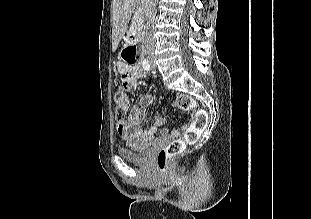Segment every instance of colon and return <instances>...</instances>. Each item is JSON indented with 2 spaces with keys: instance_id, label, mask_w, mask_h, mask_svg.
I'll return each mask as SVG.
<instances>
[{
  "instance_id": "1",
  "label": "colon",
  "mask_w": 311,
  "mask_h": 219,
  "mask_svg": "<svg viewBox=\"0 0 311 219\" xmlns=\"http://www.w3.org/2000/svg\"><path fill=\"white\" fill-rule=\"evenodd\" d=\"M125 59L129 63L136 62V55L128 51ZM118 83L122 89L126 87V78L121 75ZM177 107L183 111H192V122L184 129V139H174L165 148H162L157 154V165L160 171L167 172L170 168V162L173 158L181 154L185 144L196 143L201 134L205 131L208 115L203 109H199L193 97L187 94H181L177 98ZM128 110V100L123 91H118L115 95V118L118 122L124 121Z\"/></svg>"
}]
</instances>
